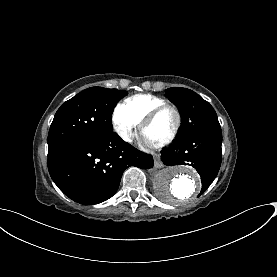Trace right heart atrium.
<instances>
[{
  "label": "right heart atrium",
  "mask_w": 277,
  "mask_h": 277,
  "mask_svg": "<svg viewBox=\"0 0 277 277\" xmlns=\"http://www.w3.org/2000/svg\"><path fill=\"white\" fill-rule=\"evenodd\" d=\"M113 125L115 131L124 141L131 142L134 139L138 122L132 116L118 109L113 117Z\"/></svg>",
  "instance_id": "obj_1"
}]
</instances>
